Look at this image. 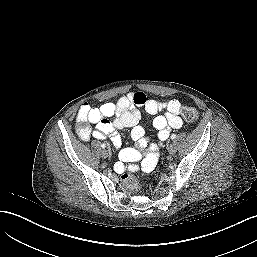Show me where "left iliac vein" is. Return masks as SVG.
Instances as JSON below:
<instances>
[{
    "instance_id": "4c4485c4",
    "label": "left iliac vein",
    "mask_w": 257,
    "mask_h": 257,
    "mask_svg": "<svg viewBox=\"0 0 257 257\" xmlns=\"http://www.w3.org/2000/svg\"><path fill=\"white\" fill-rule=\"evenodd\" d=\"M169 154L173 155L176 152V147L174 143H170L167 147Z\"/></svg>"
}]
</instances>
